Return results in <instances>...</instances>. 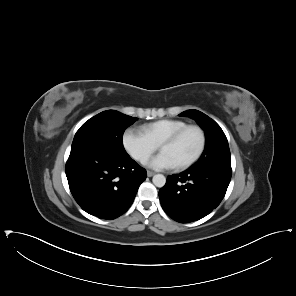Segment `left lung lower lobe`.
<instances>
[{
  "label": "left lung lower lobe",
  "instance_id": "1",
  "mask_svg": "<svg viewBox=\"0 0 296 296\" xmlns=\"http://www.w3.org/2000/svg\"><path fill=\"white\" fill-rule=\"evenodd\" d=\"M232 170L228 166L195 167L167 177L159 198L164 211L177 222L199 220L225 196Z\"/></svg>",
  "mask_w": 296,
  "mask_h": 296
}]
</instances>
